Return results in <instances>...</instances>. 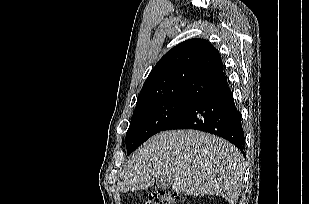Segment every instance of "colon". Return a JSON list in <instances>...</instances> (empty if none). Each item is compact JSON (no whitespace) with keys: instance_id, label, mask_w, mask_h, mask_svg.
<instances>
[{"instance_id":"obj_1","label":"colon","mask_w":309,"mask_h":204,"mask_svg":"<svg viewBox=\"0 0 309 204\" xmlns=\"http://www.w3.org/2000/svg\"><path fill=\"white\" fill-rule=\"evenodd\" d=\"M177 201L176 193L168 190H157L149 195L145 204H176Z\"/></svg>"}]
</instances>
